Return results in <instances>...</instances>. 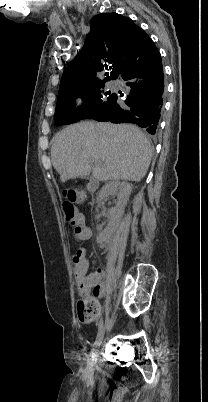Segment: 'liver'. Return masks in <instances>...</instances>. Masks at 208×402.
<instances>
[{
  "label": "liver",
  "instance_id": "1",
  "mask_svg": "<svg viewBox=\"0 0 208 402\" xmlns=\"http://www.w3.org/2000/svg\"><path fill=\"white\" fill-rule=\"evenodd\" d=\"M152 146L131 124L79 122L56 134L52 164L61 182L85 178L140 182L151 162Z\"/></svg>",
  "mask_w": 208,
  "mask_h": 402
}]
</instances>
